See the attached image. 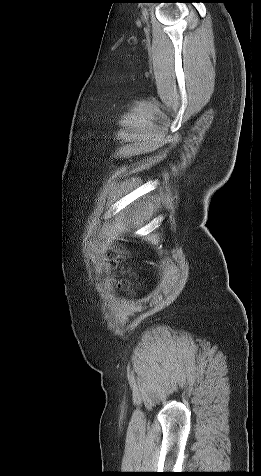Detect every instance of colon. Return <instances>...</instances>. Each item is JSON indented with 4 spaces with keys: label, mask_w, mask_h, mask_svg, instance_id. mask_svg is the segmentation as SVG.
<instances>
[{
    "label": "colon",
    "mask_w": 261,
    "mask_h": 476,
    "mask_svg": "<svg viewBox=\"0 0 261 476\" xmlns=\"http://www.w3.org/2000/svg\"><path fill=\"white\" fill-rule=\"evenodd\" d=\"M123 254H124V250L118 247L112 252L111 260L117 261ZM123 284H127V282L125 281Z\"/></svg>",
    "instance_id": "1"
}]
</instances>
